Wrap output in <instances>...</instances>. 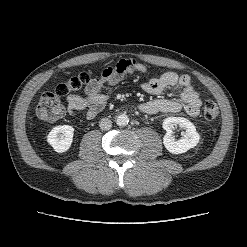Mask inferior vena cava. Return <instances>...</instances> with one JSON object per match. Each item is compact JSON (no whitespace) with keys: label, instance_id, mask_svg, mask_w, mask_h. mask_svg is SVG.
<instances>
[{"label":"inferior vena cava","instance_id":"inferior-vena-cava-1","mask_svg":"<svg viewBox=\"0 0 247 247\" xmlns=\"http://www.w3.org/2000/svg\"><path fill=\"white\" fill-rule=\"evenodd\" d=\"M112 126V121L108 118H102L99 122V127L102 130H109Z\"/></svg>","mask_w":247,"mask_h":247}]
</instances>
